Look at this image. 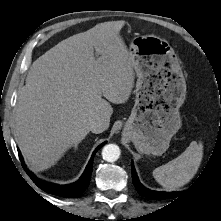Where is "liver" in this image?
<instances>
[{
    "mask_svg": "<svg viewBox=\"0 0 221 221\" xmlns=\"http://www.w3.org/2000/svg\"><path fill=\"white\" fill-rule=\"evenodd\" d=\"M124 25V21L97 24L33 62L14 114L17 143L33 170L54 165L86 137L92 121L101 119L108 128L113 113L109 102L128 100L134 67L120 36Z\"/></svg>",
    "mask_w": 221,
    "mask_h": 221,
    "instance_id": "1",
    "label": "liver"
}]
</instances>
